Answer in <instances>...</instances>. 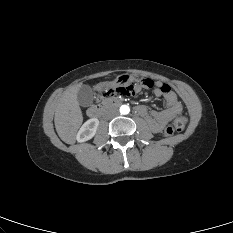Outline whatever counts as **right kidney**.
I'll return each instance as SVG.
<instances>
[{
  "mask_svg": "<svg viewBox=\"0 0 233 233\" xmlns=\"http://www.w3.org/2000/svg\"><path fill=\"white\" fill-rule=\"evenodd\" d=\"M99 125L97 118L87 120L77 133L76 139L78 142H85L94 137Z\"/></svg>",
  "mask_w": 233,
  "mask_h": 233,
  "instance_id": "obj_1",
  "label": "right kidney"
}]
</instances>
